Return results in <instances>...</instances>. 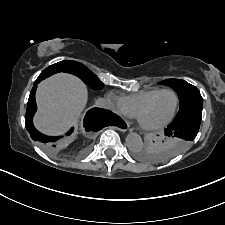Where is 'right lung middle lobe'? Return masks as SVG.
Masks as SVG:
<instances>
[{
    "mask_svg": "<svg viewBox=\"0 0 225 225\" xmlns=\"http://www.w3.org/2000/svg\"><path fill=\"white\" fill-rule=\"evenodd\" d=\"M45 72H67L78 76L84 83L91 88L100 90L104 84L97 78V76L81 63L72 60H64L47 67Z\"/></svg>",
    "mask_w": 225,
    "mask_h": 225,
    "instance_id": "obj_1",
    "label": "right lung middle lobe"
}]
</instances>
